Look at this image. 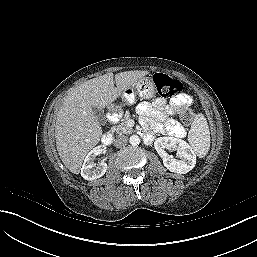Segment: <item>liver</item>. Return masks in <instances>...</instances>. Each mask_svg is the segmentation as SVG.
<instances>
[{
    "label": "liver",
    "mask_w": 257,
    "mask_h": 257,
    "mask_svg": "<svg viewBox=\"0 0 257 257\" xmlns=\"http://www.w3.org/2000/svg\"><path fill=\"white\" fill-rule=\"evenodd\" d=\"M148 73L140 70L125 71L115 76L108 73L90 79L69 92L57 114L55 139L58 154L70 172H80L86 154L102 136L101 125L92 108L109 106L122 91L135 85Z\"/></svg>",
    "instance_id": "6515ba94"
}]
</instances>
